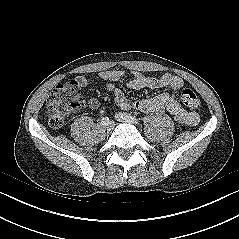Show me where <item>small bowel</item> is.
Here are the masks:
<instances>
[{
    "label": "small bowel",
    "instance_id": "obj_1",
    "mask_svg": "<svg viewBox=\"0 0 239 239\" xmlns=\"http://www.w3.org/2000/svg\"><path fill=\"white\" fill-rule=\"evenodd\" d=\"M98 78L113 93L116 104L122 109L135 108L144 113L166 109L182 125L194 126L199 122V115L196 112L185 110L169 93H160L149 99L131 100L121 89L114 85V82L126 80L128 87L131 89L170 88L179 90L183 87L184 81L177 75L164 74L160 77H153L140 72L127 74L119 69H111L102 71ZM75 81L79 86L85 87L90 83L91 79L85 76H78ZM88 106L90 109L96 110L99 108L100 102L96 97H92L88 100Z\"/></svg>",
    "mask_w": 239,
    "mask_h": 239
}]
</instances>
